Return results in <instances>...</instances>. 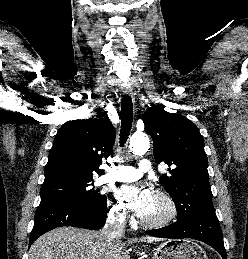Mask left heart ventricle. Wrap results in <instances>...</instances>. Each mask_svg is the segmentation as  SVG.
<instances>
[{
  "instance_id": "obj_1",
  "label": "left heart ventricle",
  "mask_w": 248,
  "mask_h": 259,
  "mask_svg": "<svg viewBox=\"0 0 248 259\" xmlns=\"http://www.w3.org/2000/svg\"><path fill=\"white\" fill-rule=\"evenodd\" d=\"M166 212L167 205L165 201L162 198L153 195L152 202L143 218L150 221L157 220L162 218Z\"/></svg>"
}]
</instances>
